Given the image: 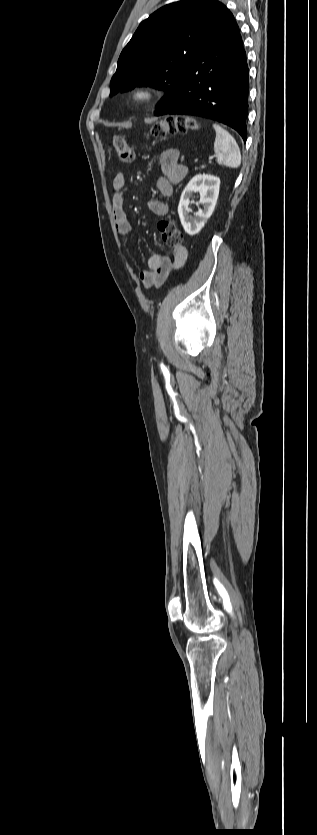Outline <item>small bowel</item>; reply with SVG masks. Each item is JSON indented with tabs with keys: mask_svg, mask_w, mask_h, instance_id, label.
Segmentation results:
<instances>
[{
	"mask_svg": "<svg viewBox=\"0 0 317 835\" xmlns=\"http://www.w3.org/2000/svg\"><path fill=\"white\" fill-rule=\"evenodd\" d=\"M160 164L164 176L157 180L156 186L161 197L166 200L173 194V185L179 184L184 179L188 168L179 162V152L174 148L161 152ZM112 186L114 190L111 208L113 223L120 235L128 237L132 233V227L124 210L125 174L117 173ZM148 208L157 216H164L168 212V205L163 200H150ZM187 258L188 251L185 247L174 249L172 258L153 254L148 259L147 268L140 272L139 279L145 288L158 287L164 282L169 272L182 267Z\"/></svg>",
	"mask_w": 317,
	"mask_h": 835,
	"instance_id": "obj_1",
	"label": "small bowel"
}]
</instances>
